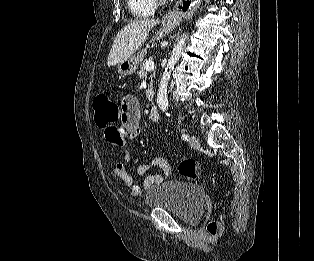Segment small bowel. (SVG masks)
Wrapping results in <instances>:
<instances>
[{
	"label": "small bowel",
	"mask_w": 314,
	"mask_h": 261,
	"mask_svg": "<svg viewBox=\"0 0 314 261\" xmlns=\"http://www.w3.org/2000/svg\"><path fill=\"white\" fill-rule=\"evenodd\" d=\"M143 132L140 126V103L133 95L124 97L121 103V125L107 124L104 129V136L109 148H124L125 144L141 135ZM126 136L127 139H126ZM126 139V140H125ZM131 162V153L124 150L123 161H118L112 167L113 174L119 178L129 190L130 196L140 198L150 190L153 185L160 184L163 176L159 173H148L152 168L157 167L162 170L163 175L169 178L172 174L171 167L163 157H155L149 162L138 165L135 168V175L143 177L142 187L137 185L132 176L127 171V164Z\"/></svg>",
	"instance_id": "small-bowel-1"
}]
</instances>
